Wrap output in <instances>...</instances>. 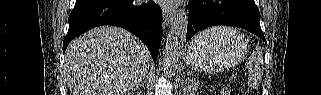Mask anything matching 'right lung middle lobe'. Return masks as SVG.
I'll return each mask as SVG.
<instances>
[{"instance_id":"right-lung-middle-lobe-1","label":"right lung middle lobe","mask_w":321,"mask_h":95,"mask_svg":"<svg viewBox=\"0 0 321 95\" xmlns=\"http://www.w3.org/2000/svg\"><path fill=\"white\" fill-rule=\"evenodd\" d=\"M84 1H87V0H76V3L84 2Z\"/></svg>"}]
</instances>
